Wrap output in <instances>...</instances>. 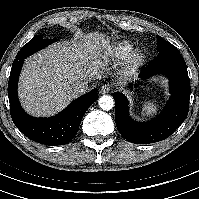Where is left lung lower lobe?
<instances>
[{
	"mask_svg": "<svg viewBox=\"0 0 199 199\" xmlns=\"http://www.w3.org/2000/svg\"><path fill=\"white\" fill-rule=\"evenodd\" d=\"M158 73L169 78L171 96L160 115L149 122L133 121L128 113L127 98L119 92L113 94L116 126L129 142L148 144L162 141L174 133L188 115L190 80L180 52L158 55L141 70L139 77L145 79Z\"/></svg>",
	"mask_w": 199,
	"mask_h": 199,
	"instance_id": "obj_1",
	"label": "left lung lower lobe"
}]
</instances>
